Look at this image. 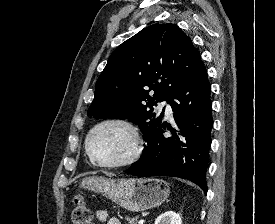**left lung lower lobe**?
<instances>
[{"mask_svg":"<svg viewBox=\"0 0 275 224\" xmlns=\"http://www.w3.org/2000/svg\"><path fill=\"white\" fill-rule=\"evenodd\" d=\"M211 86L205 66L170 97L176 129L158 128L148 136L140 160L125 172L134 176H172L189 179L207 192L206 170L213 125ZM166 128L172 136L164 137Z\"/></svg>","mask_w":275,"mask_h":224,"instance_id":"obj_1","label":"left lung lower lobe"}]
</instances>
